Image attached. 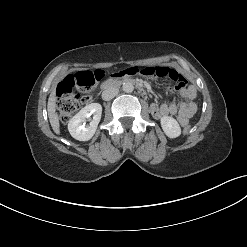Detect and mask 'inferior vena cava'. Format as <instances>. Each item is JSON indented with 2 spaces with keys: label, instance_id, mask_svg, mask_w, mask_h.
Here are the masks:
<instances>
[{
  "label": "inferior vena cava",
  "instance_id": "obj_1",
  "mask_svg": "<svg viewBox=\"0 0 247 247\" xmlns=\"http://www.w3.org/2000/svg\"><path fill=\"white\" fill-rule=\"evenodd\" d=\"M119 92V89L117 87H107L102 92V99L105 101H109L112 98H114Z\"/></svg>",
  "mask_w": 247,
  "mask_h": 247
}]
</instances>
